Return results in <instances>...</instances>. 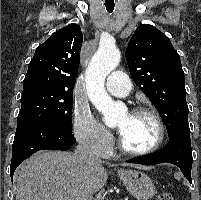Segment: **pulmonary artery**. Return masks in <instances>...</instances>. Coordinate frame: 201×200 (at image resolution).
<instances>
[{
  "mask_svg": "<svg viewBox=\"0 0 201 200\" xmlns=\"http://www.w3.org/2000/svg\"><path fill=\"white\" fill-rule=\"evenodd\" d=\"M106 88L115 96L125 97L130 94L132 84L123 72L114 71L107 77Z\"/></svg>",
  "mask_w": 201,
  "mask_h": 200,
  "instance_id": "pulmonary-artery-1",
  "label": "pulmonary artery"
}]
</instances>
